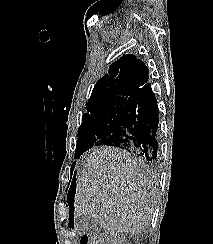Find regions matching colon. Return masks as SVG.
<instances>
[{
	"instance_id": "5ec220e1",
	"label": "colon",
	"mask_w": 213,
	"mask_h": 244,
	"mask_svg": "<svg viewBox=\"0 0 213 244\" xmlns=\"http://www.w3.org/2000/svg\"><path fill=\"white\" fill-rule=\"evenodd\" d=\"M80 244H115L113 240L106 239L101 235L96 236H83L81 238Z\"/></svg>"
}]
</instances>
